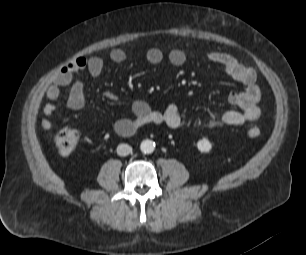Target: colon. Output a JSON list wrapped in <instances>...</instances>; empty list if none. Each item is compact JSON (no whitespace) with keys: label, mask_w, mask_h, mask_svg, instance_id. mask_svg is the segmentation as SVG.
Listing matches in <instances>:
<instances>
[{"label":"colon","mask_w":306,"mask_h":255,"mask_svg":"<svg viewBox=\"0 0 306 255\" xmlns=\"http://www.w3.org/2000/svg\"><path fill=\"white\" fill-rule=\"evenodd\" d=\"M261 134V130L258 127H251L248 130V136L250 138H257ZM79 140V134L72 128H63L55 136V145L59 153L63 156L72 154L77 146Z\"/></svg>","instance_id":"5ec220e1"}]
</instances>
